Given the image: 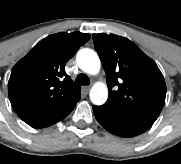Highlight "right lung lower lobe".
Returning a JSON list of instances; mask_svg holds the SVG:
<instances>
[{
    "label": "right lung lower lobe",
    "mask_w": 181,
    "mask_h": 164,
    "mask_svg": "<svg viewBox=\"0 0 181 164\" xmlns=\"http://www.w3.org/2000/svg\"><path fill=\"white\" fill-rule=\"evenodd\" d=\"M27 124H29L30 126H32L34 128H43V127H48V126L52 125V124H45V123H41V122H30V123H27Z\"/></svg>",
    "instance_id": "right-lung-lower-lobe-1"
}]
</instances>
